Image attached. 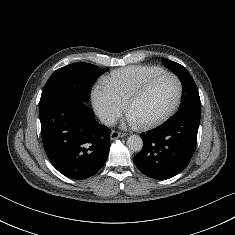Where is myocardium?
<instances>
[{
  "instance_id": "obj_1",
  "label": "myocardium",
  "mask_w": 235,
  "mask_h": 235,
  "mask_svg": "<svg viewBox=\"0 0 235 235\" xmlns=\"http://www.w3.org/2000/svg\"><path fill=\"white\" fill-rule=\"evenodd\" d=\"M162 77H171L175 80V82L177 84V95H176L175 101L173 102L172 106L160 117H158V118H156L152 121H149V122L138 124L140 128L150 129V128H154V127L159 126L160 124L164 123L177 111V109H178V107L181 103V99H182V95H183V84H182L180 78L172 72L163 71V72L157 73V74L151 76L149 79H147L128 98V100L125 103L126 111L129 113V110H130L131 106L136 101L141 99L147 93V91L150 89V87L153 85L154 82H156L158 79H160Z\"/></svg>"
}]
</instances>
